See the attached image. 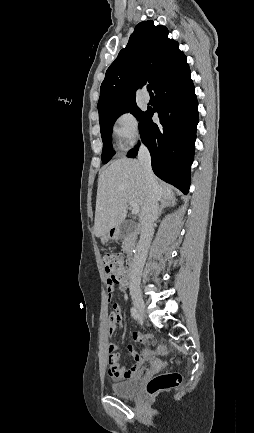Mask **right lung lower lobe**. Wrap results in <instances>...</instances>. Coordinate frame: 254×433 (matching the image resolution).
Returning a JSON list of instances; mask_svg holds the SVG:
<instances>
[{
	"instance_id": "1",
	"label": "right lung lower lobe",
	"mask_w": 254,
	"mask_h": 433,
	"mask_svg": "<svg viewBox=\"0 0 254 433\" xmlns=\"http://www.w3.org/2000/svg\"><path fill=\"white\" fill-rule=\"evenodd\" d=\"M190 75L185 58L157 87L155 107L139 121L141 140L151 154L154 173L184 194L189 190L198 124V102ZM154 112L160 118L158 124L152 121ZM138 147L128 157H135Z\"/></svg>"
}]
</instances>
